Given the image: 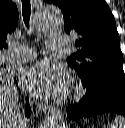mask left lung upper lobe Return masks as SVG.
<instances>
[{
    "label": "left lung upper lobe",
    "mask_w": 125,
    "mask_h": 128,
    "mask_svg": "<svg viewBox=\"0 0 125 128\" xmlns=\"http://www.w3.org/2000/svg\"><path fill=\"white\" fill-rule=\"evenodd\" d=\"M64 15V29L75 31L77 51L67 58L84 85L96 90L104 83L125 77L123 54L114 16L104 0H45Z\"/></svg>",
    "instance_id": "1"
}]
</instances>
